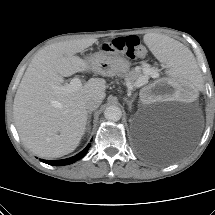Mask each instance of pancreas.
<instances>
[{
  "label": "pancreas",
  "mask_w": 215,
  "mask_h": 215,
  "mask_svg": "<svg viewBox=\"0 0 215 215\" xmlns=\"http://www.w3.org/2000/svg\"><path fill=\"white\" fill-rule=\"evenodd\" d=\"M153 70H154L153 68L150 69L151 72H152ZM144 75H145V74H144L141 70H139V71H132V72H130V73L125 77V79H126L130 84H132L133 86L138 87L137 81H138L140 78L144 77Z\"/></svg>",
  "instance_id": "pancreas-1"
}]
</instances>
